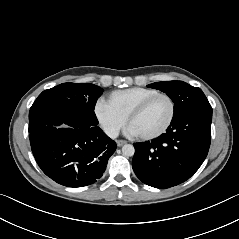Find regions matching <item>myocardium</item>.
<instances>
[{"instance_id": "myocardium-1", "label": "myocardium", "mask_w": 239, "mask_h": 239, "mask_svg": "<svg viewBox=\"0 0 239 239\" xmlns=\"http://www.w3.org/2000/svg\"><path fill=\"white\" fill-rule=\"evenodd\" d=\"M159 97H165L166 99H168V101L170 102L171 105V114L170 117L167 121V123L158 131L151 133V134H146V135H137L138 138L142 139V140H152V139H156L160 136H162L163 134H165L170 127L172 126L175 116H176V111H177V107H176V103L175 100L173 99V97L167 93H163V92H158L155 93L147 98H145L144 100H142L140 103H138L128 114L127 118V123L130 124V122L132 121V119L134 117H136L137 115H139L142 111H144V109L155 99L159 98Z\"/></svg>"}]
</instances>
